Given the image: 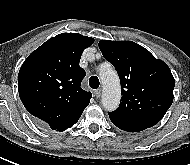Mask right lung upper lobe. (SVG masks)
<instances>
[{
  "label": "right lung upper lobe",
  "mask_w": 190,
  "mask_h": 165,
  "mask_svg": "<svg viewBox=\"0 0 190 165\" xmlns=\"http://www.w3.org/2000/svg\"><path fill=\"white\" fill-rule=\"evenodd\" d=\"M93 42L76 33L59 34L33 51L20 68L18 88L23 105L52 130L72 127L90 102L91 93L80 87L85 70L79 62Z\"/></svg>",
  "instance_id": "1"
}]
</instances>
